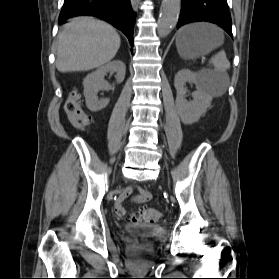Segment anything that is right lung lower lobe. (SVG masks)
I'll use <instances>...</instances> for the list:
<instances>
[{"instance_id":"right-lung-lower-lobe-1","label":"right lung lower lobe","mask_w":279,"mask_h":279,"mask_svg":"<svg viewBox=\"0 0 279 279\" xmlns=\"http://www.w3.org/2000/svg\"><path fill=\"white\" fill-rule=\"evenodd\" d=\"M74 16H95L120 29L133 46L136 13L130 0H65L58 21Z\"/></svg>"}]
</instances>
